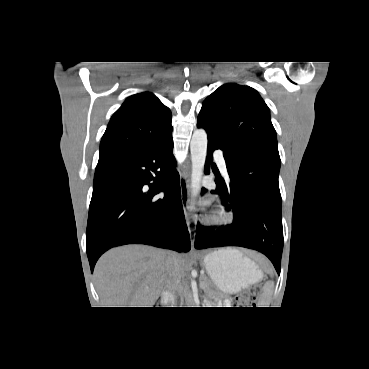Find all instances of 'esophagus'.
I'll list each match as a JSON object with an SVG mask.
<instances>
[{"label": "esophagus", "instance_id": "obj_1", "mask_svg": "<svg viewBox=\"0 0 369 369\" xmlns=\"http://www.w3.org/2000/svg\"><path fill=\"white\" fill-rule=\"evenodd\" d=\"M189 172H182L180 174V190H181V201L184 210V215L188 227V231L190 234V239L192 245L195 240V231H196V218L190 213L189 210Z\"/></svg>", "mask_w": 369, "mask_h": 369}]
</instances>
